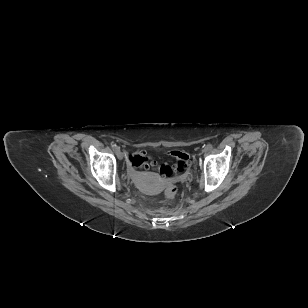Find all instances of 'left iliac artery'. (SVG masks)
<instances>
[{
    "label": "left iliac artery",
    "instance_id": "obj_1",
    "mask_svg": "<svg viewBox=\"0 0 308 308\" xmlns=\"http://www.w3.org/2000/svg\"><path fill=\"white\" fill-rule=\"evenodd\" d=\"M205 148H206L207 150H211V149L213 148V146H212V144L209 143V144L206 145Z\"/></svg>",
    "mask_w": 308,
    "mask_h": 308
}]
</instances>
